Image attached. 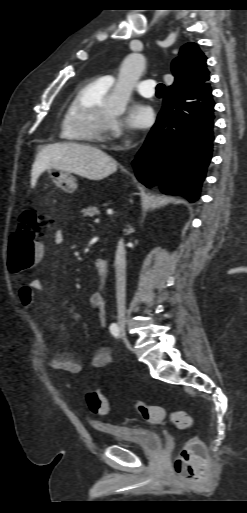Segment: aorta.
<instances>
[{"label": "aorta", "instance_id": "aorta-1", "mask_svg": "<svg viewBox=\"0 0 247 513\" xmlns=\"http://www.w3.org/2000/svg\"><path fill=\"white\" fill-rule=\"evenodd\" d=\"M145 69V59L140 53L128 55L122 62L118 81L109 97L108 106L115 113L125 111L133 88Z\"/></svg>", "mask_w": 247, "mask_h": 513}]
</instances>
